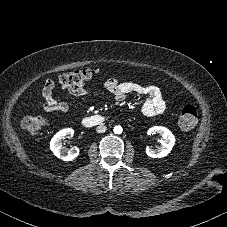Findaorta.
I'll list each match as a JSON object with an SVG mask.
<instances>
[{
  "label": "aorta",
  "mask_w": 227,
  "mask_h": 227,
  "mask_svg": "<svg viewBox=\"0 0 227 227\" xmlns=\"http://www.w3.org/2000/svg\"><path fill=\"white\" fill-rule=\"evenodd\" d=\"M123 131L122 127L120 125H117L114 127V133L115 134H121Z\"/></svg>",
  "instance_id": "1"
}]
</instances>
